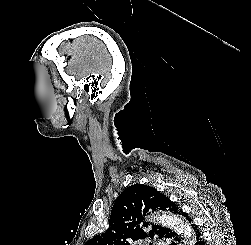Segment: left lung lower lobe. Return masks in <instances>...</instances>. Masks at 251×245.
I'll list each match as a JSON object with an SVG mask.
<instances>
[{
  "label": "left lung lower lobe",
  "instance_id": "obj_1",
  "mask_svg": "<svg viewBox=\"0 0 251 245\" xmlns=\"http://www.w3.org/2000/svg\"><path fill=\"white\" fill-rule=\"evenodd\" d=\"M180 215L185 217L189 221V224H190L191 229H192V235H193L192 244H194V245H205L204 240L202 238V235H201V232L199 231V229L191 222V220L188 218V216L183 211H180ZM167 238L170 241L169 245H179L180 244L181 239L174 232L170 233Z\"/></svg>",
  "mask_w": 251,
  "mask_h": 245
}]
</instances>
